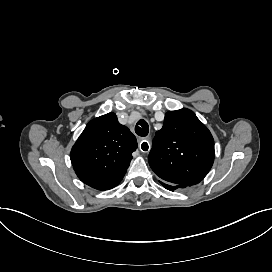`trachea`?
I'll return each mask as SVG.
<instances>
[{
    "mask_svg": "<svg viewBox=\"0 0 272 272\" xmlns=\"http://www.w3.org/2000/svg\"><path fill=\"white\" fill-rule=\"evenodd\" d=\"M149 127L145 120H140L137 123V126L135 127V132L137 135L141 137H145L148 135Z\"/></svg>",
    "mask_w": 272,
    "mask_h": 272,
    "instance_id": "3493384b",
    "label": "trachea"
}]
</instances>
